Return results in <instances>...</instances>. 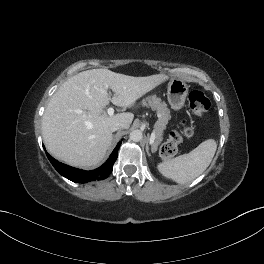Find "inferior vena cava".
<instances>
[{"label":"inferior vena cava","mask_w":264,"mask_h":264,"mask_svg":"<svg viewBox=\"0 0 264 264\" xmlns=\"http://www.w3.org/2000/svg\"><path fill=\"white\" fill-rule=\"evenodd\" d=\"M125 128V124L124 123H116L112 126V131H117L119 129H124Z\"/></svg>","instance_id":"1"}]
</instances>
